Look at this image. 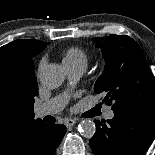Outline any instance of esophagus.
I'll list each match as a JSON object with an SVG mask.
<instances>
[{
	"label": "esophagus",
	"instance_id": "esophagus-1",
	"mask_svg": "<svg viewBox=\"0 0 155 155\" xmlns=\"http://www.w3.org/2000/svg\"><path fill=\"white\" fill-rule=\"evenodd\" d=\"M76 122H77L76 119L70 118V119H67V120L65 121V125H66L67 127H71V126H73Z\"/></svg>",
	"mask_w": 155,
	"mask_h": 155
}]
</instances>
